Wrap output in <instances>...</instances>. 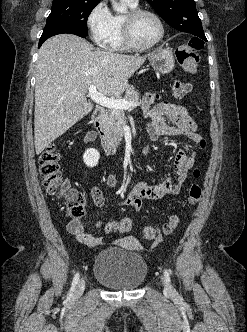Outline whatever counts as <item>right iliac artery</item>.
<instances>
[{
    "instance_id": "right-iliac-artery-1",
    "label": "right iliac artery",
    "mask_w": 247,
    "mask_h": 332,
    "mask_svg": "<svg viewBox=\"0 0 247 332\" xmlns=\"http://www.w3.org/2000/svg\"><path fill=\"white\" fill-rule=\"evenodd\" d=\"M78 280H79V273L77 272L72 281L71 291L74 290L76 284L78 283Z\"/></svg>"
}]
</instances>
